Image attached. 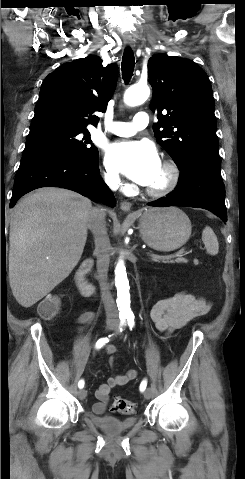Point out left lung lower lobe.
Returning <instances> with one entry per match:
<instances>
[{
	"label": "left lung lower lobe",
	"instance_id": "left-lung-lower-lobe-1",
	"mask_svg": "<svg viewBox=\"0 0 245 479\" xmlns=\"http://www.w3.org/2000/svg\"><path fill=\"white\" fill-rule=\"evenodd\" d=\"M220 169V160L217 154L195 157L179 169L181 174L175 190L148 205L203 208L226 222L225 187Z\"/></svg>",
	"mask_w": 245,
	"mask_h": 479
}]
</instances>
